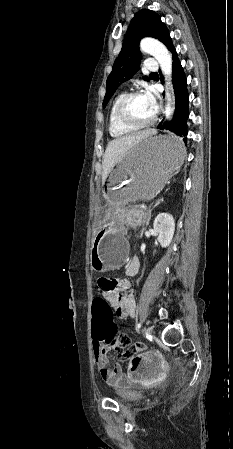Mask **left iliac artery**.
<instances>
[{
  "mask_svg": "<svg viewBox=\"0 0 233 449\" xmlns=\"http://www.w3.org/2000/svg\"><path fill=\"white\" fill-rule=\"evenodd\" d=\"M140 327H141V323H138L137 327H136V330L139 331Z\"/></svg>",
  "mask_w": 233,
  "mask_h": 449,
  "instance_id": "44dca946",
  "label": "left iliac artery"
}]
</instances>
